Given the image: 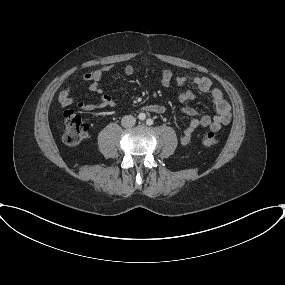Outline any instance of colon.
I'll list each match as a JSON object with an SVG mask.
<instances>
[{
  "label": "colon",
  "instance_id": "1",
  "mask_svg": "<svg viewBox=\"0 0 285 285\" xmlns=\"http://www.w3.org/2000/svg\"><path fill=\"white\" fill-rule=\"evenodd\" d=\"M89 127L74 111H67L63 117V141L70 147L79 145L88 136ZM206 146H215L218 143L214 132H208L203 137Z\"/></svg>",
  "mask_w": 285,
  "mask_h": 285
}]
</instances>
